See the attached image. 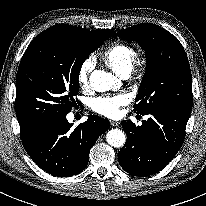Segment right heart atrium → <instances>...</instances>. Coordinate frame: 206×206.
<instances>
[{"mask_svg":"<svg viewBox=\"0 0 206 206\" xmlns=\"http://www.w3.org/2000/svg\"><path fill=\"white\" fill-rule=\"evenodd\" d=\"M95 68V61L91 57H87L80 64L77 71V82L80 87L87 88L90 83V75Z\"/></svg>","mask_w":206,"mask_h":206,"instance_id":"1","label":"right heart atrium"}]
</instances>
